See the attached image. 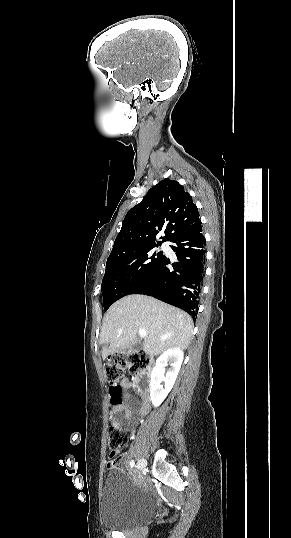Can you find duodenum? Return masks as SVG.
<instances>
[{
	"mask_svg": "<svg viewBox=\"0 0 291 538\" xmlns=\"http://www.w3.org/2000/svg\"><path fill=\"white\" fill-rule=\"evenodd\" d=\"M147 368L148 369H146V372H149V370H152L154 368V365L152 363H149L147 365ZM134 382H136L137 386L136 394H141L143 396H147L146 392H150L154 384L152 377H150L148 374L142 373H136V377H134Z\"/></svg>",
	"mask_w": 291,
	"mask_h": 538,
	"instance_id": "obj_1",
	"label": "duodenum"
}]
</instances>
